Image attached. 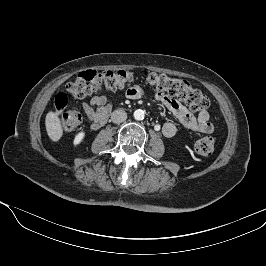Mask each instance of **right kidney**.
Returning <instances> with one entry per match:
<instances>
[{
	"mask_svg": "<svg viewBox=\"0 0 266 266\" xmlns=\"http://www.w3.org/2000/svg\"><path fill=\"white\" fill-rule=\"evenodd\" d=\"M84 137H85V132H79L74 138L73 141L74 145L76 146L80 144L83 141Z\"/></svg>",
	"mask_w": 266,
	"mask_h": 266,
	"instance_id": "1",
	"label": "right kidney"
}]
</instances>
